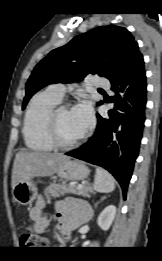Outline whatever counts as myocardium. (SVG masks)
<instances>
[{
	"mask_svg": "<svg viewBox=\"0 0 162 261\" xmlns=\"http://www.w3.org/2000/svg\"><path fill=\"white\" fill-rule=\"evenodd\" d=\"M62 110H68V105L59 104L50 111L46 119V129H47L49 140L51 141L52 145L56 148L66 150V149L74 148L77 145H79L82 142V140L85 138V134L83 133L79 138H77L72 142H65L60 138L58 133V127H57V118Z\"/></svg>",
	"mask_w": 162,
	"mask_h": 261,
	"instance_id": "1",
	"label": "myocardium"
}]
</instances>
